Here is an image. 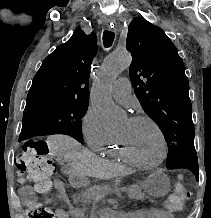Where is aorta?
<instances>
[{
    "label": "aorta",
    "mask_w": 211,
    "mask_h": 218,
    "mask_svg": "<svg viewBox=\"0 0 211 218\" xmlns=\"http://www.w3.org/2000/svg\"><path fill=\"white\" fill-rule=\"evenodd\" d=\"M131 61V54L127 51H117L106 57L91 90V105L103 126L109 131H119L125 123L124 114L112 99L110 85L130 66Z\"/></svg>",
    "instance_id": "obj_1"
}]
</instances>
